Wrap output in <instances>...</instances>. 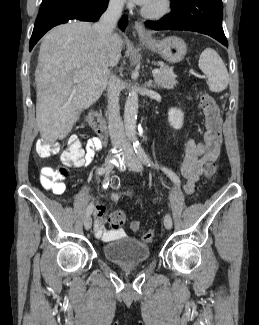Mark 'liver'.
Segmentation results:
<instances>
[{
	"label": "liver",
	"instance_id": "obj_1",
	"mask_svg": "<svg viewBox=\"0 0 259 325\" xmlns=\"http://www.w3.org/2000/svg\"><path fill=\"white\" fill-rule=\"evenodd\" d=\"M122 45L121 37L112 34L105 46L90 23L75 20L43 37L35 82L36 121L44 143L64 139L83 109L100 98L110 68L120 60Z\"/></svg>",
	"mask_w": 259,
	"mask_h": 325
}]
</instances>
